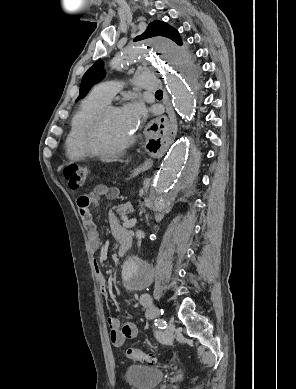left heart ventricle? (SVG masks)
Listing matches in <instances>:
<instances>
[{
	"mask_svg": "<svg viewBox=\"0 0 296 389\" xmlns=\"http://www.w3.org/2000/svg\"><path fill=\"white\" fill-rule=\"evenodd\" d=\"M121 111L107 114L98 132V144L102 148H115L126 142L132 135Z\"/></svg>",
	"mask_w": 296,
	"mask_h": 389,
	"instance_id": "b2bd125f",
	"label": "left heart ventricle"
}]
</instances>
